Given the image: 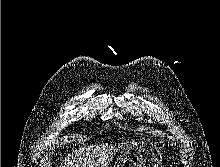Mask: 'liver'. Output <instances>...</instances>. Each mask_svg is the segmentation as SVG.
Segmentation results:
<instances>
[{"label": "liver", "mask_w": 220, "mask_h": 167, "mask_svg": "<svg viewBox=\"0 0 220 167\" xmlns=\"http://www.w3.org/2000/svg\"><path fill=\"white\" fill-rule=\"evenodd\" d=\"M116 149L111 144L81 148L68 155L60 167H108Z\"/></svg>", "instance_id": "1"}]
</instances>
